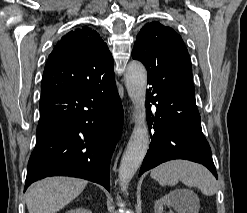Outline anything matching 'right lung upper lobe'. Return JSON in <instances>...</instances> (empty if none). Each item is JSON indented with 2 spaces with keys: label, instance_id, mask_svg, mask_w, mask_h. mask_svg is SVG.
Segmentation results:
<instances>
[{
  "label": "right lung upper lobe",
  "instance_id": "cb5924a9",
  "mask_svg": "<svg viewBox=\"0 0 247 213\" xmlns=\"http://www.w3.org/2000/svg\"><path fill=\"white\" fill-rule=\"evenodd\" d=\"M114 75L112 55L100 35L88 28L67 33L49 55L41 99L62 90L98 83Z\"/></svg>",
  "mask_w": 247,
  "mask_h": 213
}]
</instances>
